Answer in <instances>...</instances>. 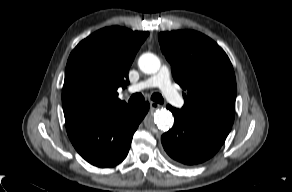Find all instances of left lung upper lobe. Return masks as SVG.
<instances>
[{
  "instance_id": "obj_1",
  "label": "left lung upper lobe",
  "mask_w": 292,
  "mask_h": 192,
  "mask_svg": "<svg viewBox=\"0 0 292 192\" xmlns=\"http://www.w3.org/2000/svg\"><path fill=\"white\" fill-rule=\"evenodd\" d=\"M159 42L175 81L187 90L181 114L232 125L236 79L223 49L209 37L191 30L161 32Z\"/></svg>"
}]
</instances>
